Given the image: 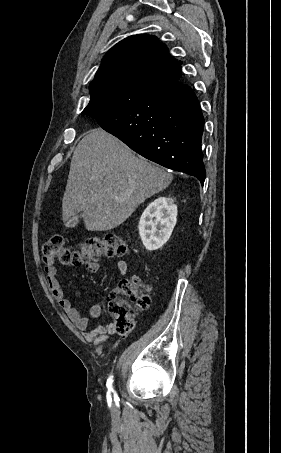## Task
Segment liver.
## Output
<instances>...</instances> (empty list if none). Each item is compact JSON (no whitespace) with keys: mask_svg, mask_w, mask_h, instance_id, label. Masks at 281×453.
Listing matches in <instances>:
<instances>
[{"mask_svg":"<svg viewBox=\"0 0 281 453\" xmlns=\"http://www.w3.org/2000/svg\"><path fill=\"white\" fill-rule=\"evenodd\" d=\"M172 174L138 158L122 140L92 128L71 158L62 198V220L81 212L87 231H111L127 220L138 204L164 190Z\"/></svg>","mask_w":281,"mask_h":453,"instance_id":"6515ba94","label":"liver"}]
</instances>
